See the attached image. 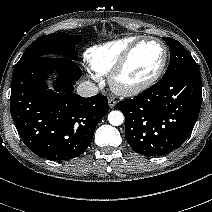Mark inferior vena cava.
<instances>
[{
	"label": "inferior vena cava",
	"instance_id": "1",
	"mask_svg": "<svg viewBox=\"0 0 212 212\" xmlns=\"http://www.w3.org/2000/svg\"><path fill=\"white\" fill-rule=\"evenodd\" d=\"M77 93L82 97H91L98 94V87L90 81H84L78 85Z\"/></svg>",
	"mask_w": 212,
	"mask_h": 212
}]
</instances>
